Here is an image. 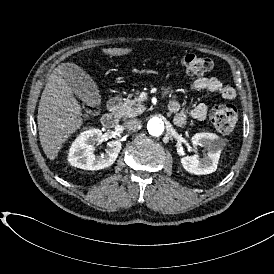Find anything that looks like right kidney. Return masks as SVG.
I'll list each match as a JSON object with an SVG mask.
<instances>
[{"label": "right kidney", "mask_w": 274, "mask_h": 274, "mask_svg": "<svg viewBox=\"0 0 274 274\" xmlns=\"http://www.w3.org/2000/svg\"><path fill=\"white\" fill-rule=\"evenodd\" d=\"M102 137L99 129H89L82 132L72 143L69 149L68 161L77 168L97 171L110 167L116 161L122 148L119 140H111L107 143L104 155L95 157V143Z\"/></svg>", "instance_id": "right-kidney-1"}]
</instances>
